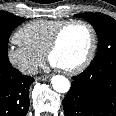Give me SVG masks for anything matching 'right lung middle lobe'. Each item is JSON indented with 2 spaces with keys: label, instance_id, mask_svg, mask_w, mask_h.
I'll return each mask as SVG.
<instances>
[{
  "label": "right lung middle lobe",
  "instance_id": "obj_1",
  "mask_svg": "<svg viewBox=\"0 0 116 116\" xmlns=\"http://www.w3.org/2000/svg\"><path fill=\"white\" fill-rule=\"evenodd\" d=\"M24 21L25 18L0 11V74L12 69L8 59V41L11 32Z\"/></svg>",
  "mask_w": 116,
  "mask_h": 116
}]
</instances>
